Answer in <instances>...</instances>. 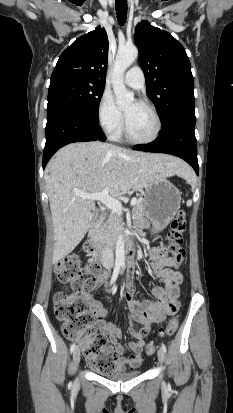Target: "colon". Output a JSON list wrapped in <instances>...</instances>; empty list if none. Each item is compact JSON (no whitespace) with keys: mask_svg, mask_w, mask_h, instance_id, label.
Returning <instances> with one entry per match:
<instances>
[{"mask_svg":"<svg viewBox=\"0 0 233 413\" xmlns=\"http://www.w3.org/2000/svg\"><path fill=\"white\" fill-rule=\"evenodd\" d=\"M185 227V213L179 211L172 220L167 234L168 251L174 259L176 268L185 256L182 248ZM99 271L100 266L96 262L83 263L76 255H68L59 260L55 265L56 276L62 284L71 288L73 293L58 291L54 296V310L64 335L68 338L79 339L91 367L103 374H108L114 373L117 369L116 355L109 348L107 338L96 334L93 315L88 309L84 296L80 294L93 289ZM178 309L179 306L171 308L173 316L167 326L161 329L162 337H170L177 331ZM145 352L152 354L154 345L147 344Z\"/></svg>","mask_w":233,"mask_h":413,"instance_id":"colon-1","label":"colon"}]
</instances>
